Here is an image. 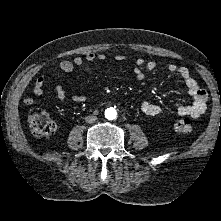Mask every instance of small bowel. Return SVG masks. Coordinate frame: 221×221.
<instances>
[{"instance_id": "small-bowel-1", "label": "small bowel", "mask_w": 221, "mask_h": 221, "mask_svg": "<svg viewBox=\"0 0 221 221\" xmlns=\"http://www.w3.org/2000/svg\"><path fill=\"white\" fill-rule=\"evenodd\" d=\"M115 61L122 62L126 60V57L122 54H118L114 57ZM106 61L107 56L103 53H88L85 57H75L73 60H63L59 62L55 70L70 73L74 71L76 68H82L85 72H90L92 70V65L96 61ZM156 68V64L152 61H148L143 58H139L136 61V67L134 68V76L137 80L141 81L144 79L145 74L144 71L153 70ZM166 70L173 75H177L185 84L187 92L192 97L191 105H181L176 109V115L190 116L192 118H197L202 115L206 111L207 107V92L201 88L196 81V79L192 76L191 71L186 66H178L173 63H168L165 66ZM45 80L43 77H38L33 86L32 92L35 95H41L44 91ZM56 95L57 98L62 102H67L68 97L62 85L58 84L56 86ZM77 102H83L85 100L82 96H77L73 98ZM24 103L27 105H32L34 103V98L32 96H26L23 99ZM141 112L147 117H154L158 115L161 111L159 105L152 101H143L140 104Z\"/></svg>"}]
</instances>
